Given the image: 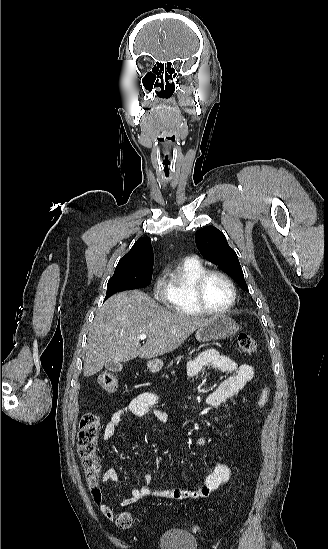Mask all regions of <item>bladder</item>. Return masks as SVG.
<instances>
[{"instance_id": "31cf9c89", "label": "bladder", "mask_w": 328, "mask_h": 549, "mask_svg": "<svg viewBox=\"0 0 328 549\" xmlns=\"http://www.w3.org/2000/svg\"><path fill=\"white\" fill-rule=\"evenodd\" d=\"M160 549H197L196 536L172 529L160 536Z\"/></svg>"}]
</instances>
